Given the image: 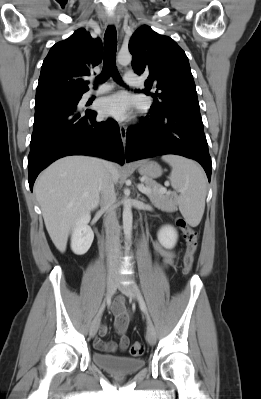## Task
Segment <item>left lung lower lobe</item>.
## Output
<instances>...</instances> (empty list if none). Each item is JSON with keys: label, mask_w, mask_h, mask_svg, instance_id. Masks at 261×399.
<instances>
[{"label": "left lung lower lobe", "mask_w": 261, "mask_h": 399, "mask_svg": "<svg viewBox=\"0 0 261 399\" xmlns=\"http://www.w3.org/2000/svg\"><path fill=\"white\" fill-rule=\"evenodd\" d=\"M142 119V125L127 131V162L164 154L181 155L199 162L210 181L212 162L199 108L180 107L165 114L151 112Z\"/></svg>", "instance_id": "left-lung-lower-lobe-1"}]
</instances>
